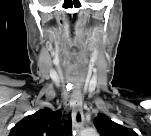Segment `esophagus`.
Returning a JSON list of instances; mask_svg holds the SVG:
<instances>
[{
    "instance_id": "34e87169",
    "label": "esophagus",
    "mask_w": 151,
    "mask_h": 136,
    "mask_svg": "<svg viewBox=\"0 0 151 136\" xmlns=\"http://www.w3.org/2000/svg\"><path fill=\"white\" fill-rule=\"evenodd\" d=\"M69 103L73 110V127L77 132H80L84 125V115L82 110L81 98L76 90L73 91Z\"/></svg>"
}]
</instances>
